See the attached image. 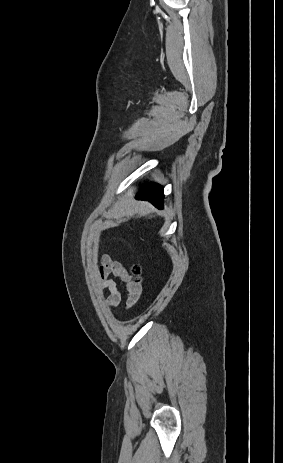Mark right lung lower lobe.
<instances>
[{"mask_svg": "<svg viewBox=\"0 0 283 463\" xmlns=\"http://www.w3.org/2000/svg\"><path fill=\"white\" fill-rule=\"evenodd\" d=\"M163 188L157 184L143 186L137 195L138 199L148 200L156 207H163Z\"/></svg>", "mask_w": 283, "mask_h": 463, "instance_id": "98d812e1", "label": "right lung lower lobe"}]
</instances>
